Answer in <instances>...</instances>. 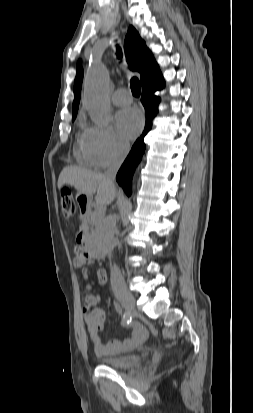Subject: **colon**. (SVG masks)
Masks as SVG:
<instances>
[{
    "instance_id": "1",
    "label": "colon",
    "mask_w": 253,
    "mask_h": 413,
    "mask_svg": "<svg viewBox=\"0 0 253 413\" xmlns=\"http://www.w3.org/2000/svg\"><path fill=\"white\" fill-rule=\"evenodd\" d=\"M61 213L64 217H71L76 211L75 202L72 194L69 191L61 192L60 201Z\"/></svg>"
}]
</instances>
